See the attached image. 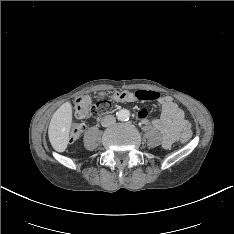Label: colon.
I'll return each mask as SVG.
<instances>
[{
	"mask_svg": "<svg viewBox=\"0 0 234 234\" xmlns=\"http://www.w3.org/2000/svg\"><path fill=\"white\" fill-rule=\"evenodd\" d=\"M132 94L138 100H154L157 94L146 93L144 91H120L115 92L110 96L105 94L99 95L97 98H92L90 96H83L76 100L75 103V114L79 119L87 118H98L111 109L112 101H121L126 98L129 94ZM85 130V125L82 123L75 124L72 127L70 139L71 141H76ZM191 139V132L186 131L181 136V141L187 143Z\"/></svg>",
	"mask_w": 234,
	"mask_h": 234,
	"instance_id": "obj_1",
	"label": "colon"
}]
</instances>
